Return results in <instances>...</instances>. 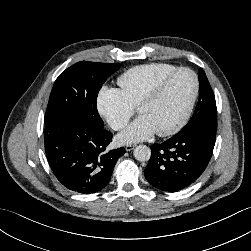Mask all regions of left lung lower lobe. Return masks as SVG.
<instances>
[{
	"mask_svg": "<svg viewBox=\"0 0 251 251\" xmlns=\"http://www.w3.org/2000/svg\"><path fill=\"white\" fill-rule=\"evenodd\" d=\"M216 132L197 128L151 146L145 178L156 189L177 192L194 183L213 153Z\"/></svg>",
	"mask_w": 251,
	"mask_h": 251,
	"instance_id": "obj_1",
	"label": "left lung lower lobe"
}]
</instances>
